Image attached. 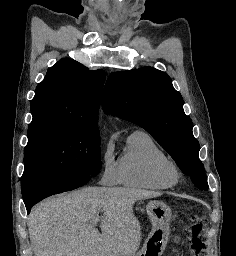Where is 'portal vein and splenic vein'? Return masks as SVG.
<instances>
[{"label":"portal vein and splenic vein","instance_id":"1","mask_svg":"<svg viewBox=\"0 0 236 256\" xmlns=\"http://www.w3.org/2000/svg\"><path fill=\"white\" fill-rule=\"evenodd\" d=\"M101 220H102L101 216H93V218L89 220L90 226H97L98 222H101Z\"/></svg>","mask_w":236,"mask_h":256}]
</instances>
